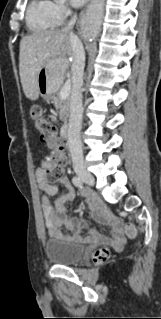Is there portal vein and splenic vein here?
I'll use <instances>...</instances> for the list:
<instances>
[{
  "label": "portal vein and splenic vein",
  "mask_w": 161,
  "mask_h": 319,
  "mask_svg": "<svg viewBox=\"0 0 161 319\" xmlns=\"http://www.w3.org/2000/svg\"><path fill=\"white\" fill-rule=\"evenodd\" d=\"M70 90H71V82L67 81L63 85V87H62V89L60 91V97L63 98V99L67 98L69 96V94H70Z\"/></svg>",
  "instance_id": "18ae733b"
}]
</instances>
